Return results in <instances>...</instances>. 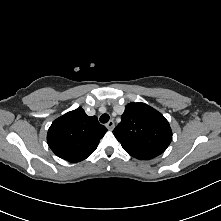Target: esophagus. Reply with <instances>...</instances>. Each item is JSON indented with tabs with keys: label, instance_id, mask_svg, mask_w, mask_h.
I'll return each instance as SVG.
<instances>
[{
	"label": "esophagus",
	"instance_id": "1",
	"mask_svg": "<svg viewBox=\"0 0 221 221\" xmlns=\"http://www.w3.org/2000/svg\"><path fill=\"white\" fill-rule=\"evenodd\" d=\"M115 126V123L113 120H110L107 124H106V127L109 129V130H113Z\"/></svg>",
	"mask_w": 221,
	"mask_h": 221
}]
</instances>
